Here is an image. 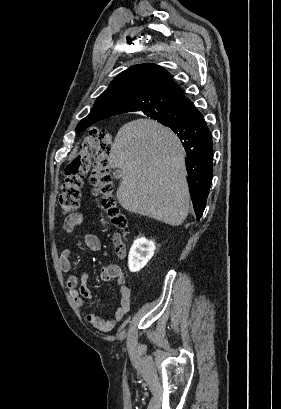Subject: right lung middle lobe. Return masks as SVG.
<instances>
[{
	"mask_svg": "<svg viewBox=\"0 0 281 409\" xmlns=\"http://www.w3.org/2000/svg\"><path fill=\"white\" fill-rule=\"evenodd\" d=\"M154 120H157L164 126L168 127L169 125L175 123L178 119L175 118L174 116H166V117L155 118ZM77 132H80V130H77Z\"/></svg>",
	"mask_w": 281,
	"mask_h": 409,
	"instance_id": "dd1d6c3e",
	"label": "right lung middle lobe"
}]
</instances>
